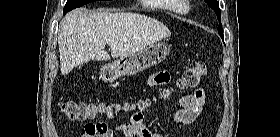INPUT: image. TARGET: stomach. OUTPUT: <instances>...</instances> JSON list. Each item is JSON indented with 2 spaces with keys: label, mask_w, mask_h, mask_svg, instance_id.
Returning a JSON list of instances; mask_svg holds the SVG:
<instances>
[{
  "label": "stomach",
  "mask_w": 280,
  "mask_h": 137,
  "mask_svg": "<svg viewBox=\"0 0 280 137\" xmlns=\"http://www.w3.org/2000/svg\"><path fill=\"white\" fill-rule=\"evenodd\" d=\"M170 46L166 43H153L143 50L120 57L101 69L100 77L104 81H114L118 77L133 76L137 73L159 64L169 55Z\"/></svg>",
  "instance_id": "obj_1"
}]
</instances>
